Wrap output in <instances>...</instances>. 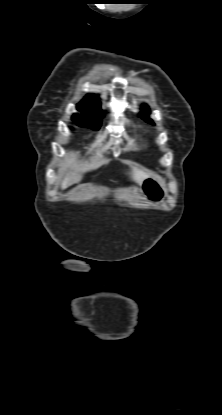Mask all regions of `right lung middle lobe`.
I'll return each mask as SVG.
<instances>
[{
  "label": "right lung middle lobe",
  "instance_id": "dd1d6c3e",
  "mask_svg": "<svg viewBox=\"0 0 222 415\" xmlns=\"http://www.w3.org/2000/svg\"><path fill=\"white\" fill-rule=\"evenodd\" d=\"M81 114H74L72 120L79 126L87 127L93 130H98L101 124V118L104 112H93L78 108Z\"/></svg>",
  "mask_w": 222,
  "mask_h": 415
}]
</instances>
